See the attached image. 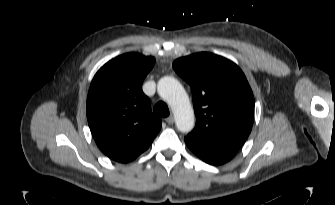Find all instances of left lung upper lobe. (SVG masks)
Returning a JSON list of instances; mask_svg holds the SVG:
<instances>
[{
	"label": "left lung upper lobe",
	"mask_w": 335,
	"mask_h": 205,
	"mask_svg": "<svg viewBox=\"0 0 335 205\" xmlns=\"http://www.w3.org/2000/svg\"><path fill=\"white\" fill-rule=\"evenodd\" d=\"M173 68L191 87L196 126L187 137L238 150L251 132L254 97L241 69L207 52L182 57Z\"/></svg>",
	"instance_id": "left-lung-upper-lobe-1"
}]
</instances>
